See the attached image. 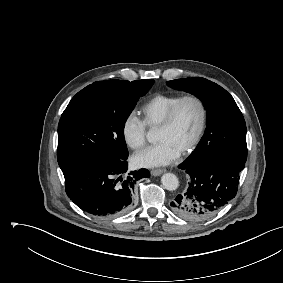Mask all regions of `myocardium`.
I'll use <instances>...</instances> for the list:
<instances>
[{
    "mask_svg": "<svg viewBox=\"0 0 283 283\" xmlns=\"http://www.w3.org/2000/svg\"><path fill=\"white\" fill-rule=\"evenodd\" d=\"M186 101H194L198 105L199 110H200V120H199V125H198V128H197V131H196L193 139L181 151V153H183V154L191 152L198 145V143L200 142V140L203 136V133L205 131L206 124H207L208 112H207V107H206L204 100L201 97H199L198 95H195V94H188V95H184V96L180 97L178 99V101L170 108L165 119L163 120V122L158 127V129H169L170 127H172L175 120H176V117H177V114L179 112L180 107Z\"/></svg>",
    "mask_w": 283,
    "mask_h": 283,
    "instance_id": "obj_1",
    "label": "myocardium"
}]
</instances>
